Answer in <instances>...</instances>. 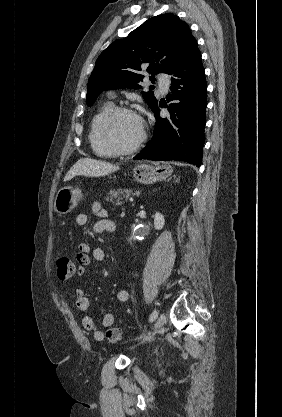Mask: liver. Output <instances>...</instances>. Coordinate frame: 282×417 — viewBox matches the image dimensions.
Returning a JSON list of instances; mask_svg holds the SVG:
<instances>
[{"label":"liver","instance_id":"6515ba94","mask_svg":"<svg viewBox=\"0 0 282 417\" xmlns=\"http://www.w3.org/2000/svg\"><path fill=\"white\" fill-rule=\"evenodd\" d=\"M115 170H119V166L111 164V162L95 160V158H79L68 170L64 180H70L77 174H82V176H106V174H111Z\"/></svg>","mask_w":282,"mask_h":417}]
</instances>
